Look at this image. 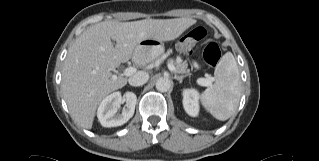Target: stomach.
Segmentation results:
<instances>
[{
  "label": "stomach",
  "mask_w": 319,
  "mask_h": 161,
  "mask_svg": "<svg viewBox=\"0 0 319 161\" xmlns=\"http://www.w3.org/2000/svg\"><path fill=\"white\" fill-rule=\"evenodd\" d=\"M164 52V45L155 39L142 40L134 50L133 60L139 64H147L160 57Z\"/></svg>",
  "instance_id": "stomach-1"
}]
</instances>
